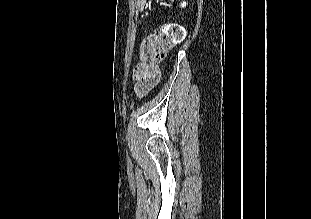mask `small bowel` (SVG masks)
Listing matches in <instances>:
<instances>
[{
	"label": "small bowel",
	"instance_id": "small-bowel-1",
	"mask_svg": "<svg viewBox=\"0 0 311 219\" xmlns=\"http://www.w3.org/2000/svg\"><path fill=\"white\" fill-rule=\"evenodd\" d=\"M134 80L136 81L135 84V91L139 95H144L153 89L157 82V76H150L148 73L139 71L138 68L134 71Z\"/></svg>",
	"mask_w": 311,
	"mask_h": 219
}]
</instances>
